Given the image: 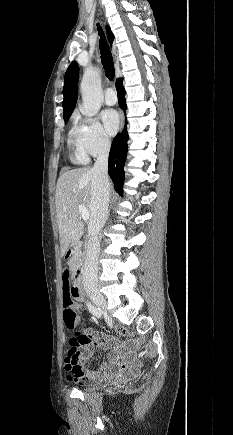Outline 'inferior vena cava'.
<instances>
[{
  "label": "inferior vena cava",
  "instance_id": "obj_1",
  "mask_svg": "<svg viewBox=\"0 0 233 435\" xmlns=\"http://www.w3.org/2000/svg\"><path fill=\"white\" fill-rule=\"evenodd\" d=\"M110 141L102 142L98 158L92 168L90 219L88 222L87 253L83 271L85 289L97 287L98 256L100 243L98 235L105 225L108 216L110 199V182L108 178V154Z\"/></svg>",
  "mask_w": 233,
  "mask_h": 435
}]
</instances>
